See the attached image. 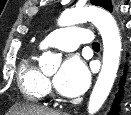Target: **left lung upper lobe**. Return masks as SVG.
<instances>
[{
  "label": "left lung upper lobe",
  "mask_w": 131,
  "mask_h": 115,
  "mask_svg": "<svg viewBox=\"0 0 131 115\" xmlns=\"http://www.w3.org/2000/svg\"><path fill=\"white\" fill-rule=\"evenodd\" d=\"M91 4L101 6L108 11H112V4L110 0H91Z\"/></svg>",
  "instance_id": "5c2ea615"
}]
</instances>
